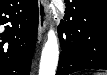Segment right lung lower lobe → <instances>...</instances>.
Listing matches in <instances>:
<instances>
[{
	"instance_id": "98d812e1",
	"label": "right lung lower lobe",
	"mask_w": 107,
	"mask_h": 75,
	"mask_svg": "<svg viewBox=\"0 0 107 75\" xmlns=\"http://www.w3.org/2000/svg\"><path fill=\"white\" fill-rule=\"evenodd\" d=\"M0 75H29L38 29L37 0H1Z\"/></svg>"
}]
</instances>
